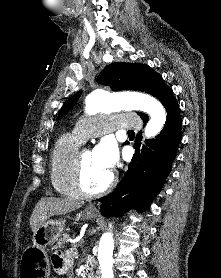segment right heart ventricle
I'll return each mask as SVG.
<instances>
[{
  "label": "right heart ventricle",
  "mask_w": 221,
  "mask_h": 278,
  "mask_svg": "<svg viewBox=\"0 0 221 278\" xmlns=\"http://www.w3.org/2000/svg\"><path fill=\"white\" fill-rule=\"evenodd\" d=\"M81 139L66 134L55 143L50 156V180L55 191L67 198H80L71 184V167Z\"/></svg>",
  "instance_id": "right-heart-ventricle-1"
}]
</instances>
